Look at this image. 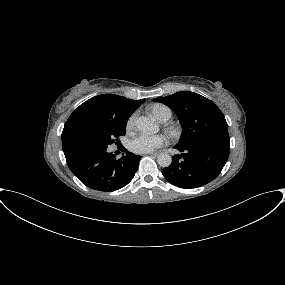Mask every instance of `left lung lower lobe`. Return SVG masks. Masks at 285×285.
<instances>
[{"label":"left lung lower lobe","mask_w":285,"mask_h":285,"mask_svg":"<svg viewBox=\"0 0 285 285\" xmlns=\"http://www.w3.org/2000/svg\"><path fill=\"white\" fill-rule=\"evenodd\" d=\"M175 148L183 154L175 155L171 165L161 172L171 184L190 189L203 186L220 174L229 156L230 143L204 140Z\"/></svg>","instance_id":"left-lung-lower-lobe-1"}]
</instances>
